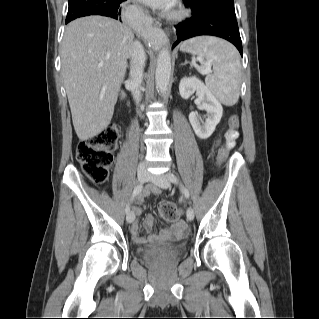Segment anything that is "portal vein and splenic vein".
I'll list each match as a JSON object with an SVG mask.
<instances>
[{
	"mask_svg": "<svg viewBox=\"0 0 319 319\" xmlns=\"http://www.w3.org/2000/svg\"><path fill=\"white\" fill-rule=\"evenodd\" d=\"M193 63H195V62H193ZM195 66L197 67L198 71H199L201 74H207V73H209V72L211 71L210 68L200 69L197 65H195Z\"/></svg>",
	"mask_w": 319,
	"mask_h": 319,
	"instance_id": "portal-vein-and-splenic-vein-1",
	"label": "portal vein and splenic vein"
}]
</instances>
